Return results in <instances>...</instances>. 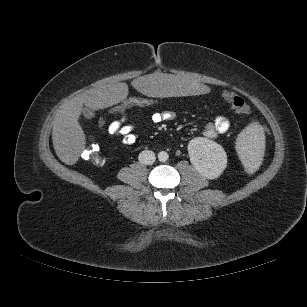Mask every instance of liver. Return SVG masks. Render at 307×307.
Returning a JSON list of instances; mask_svg holds the SVG:
<instances>
[{"mask_svg":"<svg viewBox=\"0 0 307 307\" xmlns=\"http://www.w3.org/2000/svg\"><path fill=\"white\" fill-rule=\"evenodd\" d=\"M134 86L138 93L150 99H157L161 95L180 96L191 93L202 95L207 90V85L202 80L189 81L181 76L163 73L139 76L135 79ZM127 94V84L118 83L87 90L65 103L53 120L52 142L58 158L67 165H73L85 148V134L78 122L83 105L99 110L119 103L127 97Z\"/></svg>","mask_w":307,"mask_h":307,"instance_id":"1","label":"liver"}]
</instances>
